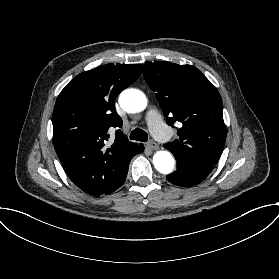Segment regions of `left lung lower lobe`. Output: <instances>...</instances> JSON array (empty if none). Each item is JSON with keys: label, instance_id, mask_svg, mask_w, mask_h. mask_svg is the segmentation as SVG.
Wrapping results in <instances>:
<instances>
[{"label": "left lung lower lobe", "instance_id": "obj_1", "mask_svg": "<svg viewBox=\"0 0 279 279\" xmlns=\"http://www.w3.org/2000/svg\"><path fill=\"white\" fill-rule=\"evenodd\" d=\"M173 155L177 160V170L168 175L167 180L178 186L191 187L199 184L209 175L213 168V165Z\"/></svg>", "mask_w": 279, "mask_h": 279}]
</instances>
